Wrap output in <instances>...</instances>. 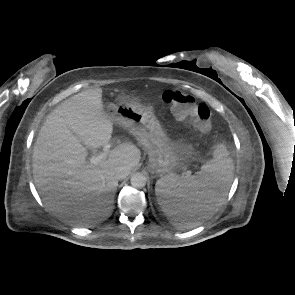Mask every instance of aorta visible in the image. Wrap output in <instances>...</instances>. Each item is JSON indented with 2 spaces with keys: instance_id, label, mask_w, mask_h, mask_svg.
Masks as SVG:
<instances>
[{
  "instance_id": "762f6f07",
  "label": "aorta",
  "mask_w": 295,
  "mask_h": 295,
  "mask_svg": "<svg viewBox=\"0 0 295 295\" xmlns=\"http://www.w3.org/2000/svg\"><path fill=\"white\" fill-rule=\"evenodd\" d=\"M130 181L134 188H143L146 185L147 178L144 174L138 172L132 175Z\"/></svg>"
}]
</instances>
